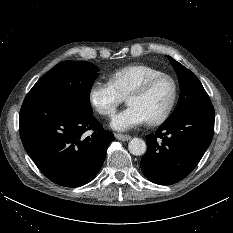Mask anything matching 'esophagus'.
<instances>
[{
    "label": "esophagus",
    "mask_w": 233,
    "mask_h": 233,
    "mask_svg": "<svg viewBox=\"0 0 233 233\" xmlns=\"http://www.w3.org/2000/svg\"><path fill=\"white\" fill-rule=\"evenodd\" d=\"M115 138L118 139V140H121V141H128V140L131 139V136L125 135V134L116 133L115 134Z\"/></svg>",
    "instance_id": "obj_1"
}]
</instances>
